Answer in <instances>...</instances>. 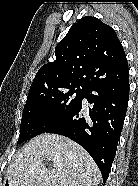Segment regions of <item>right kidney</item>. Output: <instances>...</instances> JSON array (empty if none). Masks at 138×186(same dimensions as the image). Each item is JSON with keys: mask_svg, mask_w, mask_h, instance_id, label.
I'll list each match as a JSON object with an SVG mask.
<instances>
[{"mask_svg": "<svg viewBox=\"0 0 138 186\" xmlns=\"http://www.w3.org/2000/svg\"><path fill=\"white\" fill-rule=\"evenodd\" d=\"M80 186H90V185L85 184V185H80Z\"/></svg>", "mask_w": 138, "mask_h": 186, "instance_id": "obj_1", "label": "right kidney"}]
</instances>
